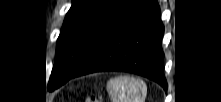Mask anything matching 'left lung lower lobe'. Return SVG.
<instances>
[{
    "mask_svg": "<svg viewBox=\"0 0 221 102\" xmlns=\"http://www.w3.org/2000/svg\"><path fill=\"white\" fill-rule=\"evenodd\" d=\"M163 35L156 0H138L71 78L100 71H126L147 77L166 90Z\"/></svg>",
    "mask_w": 221,
    "mask_h": 102,
    "instance_id": "obj_1",
    "label": "left lung lower lobe"
}]
</instances>
